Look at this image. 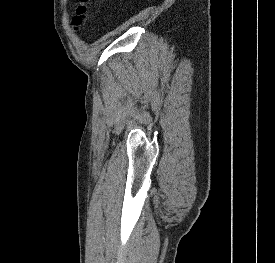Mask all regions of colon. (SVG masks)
<instances>
[{"label": "colon", "instance_id": "colon-1", "mask_svg": "<svg viewBox=\"0 0 275 263\" xmlns=\"http://www.w3.org/2000/svg\"><path fill=\"white\" fill-rule=\"evenodd\" d=\"M89 0H79L72 24L75 30H79L87 21V4Z\"/></svg>", "mask_w": 275, "mask_h": 263}]
</instances>
